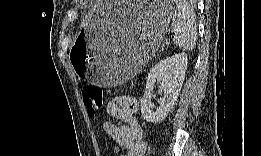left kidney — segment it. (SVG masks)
I'll use <instances>...</instances> for the list:
<instances>
[{
  "mask_svg": "<svg viewBox=\"0 0 261 156\" xmlns=\"http://www.w3.org/2000/svg\"><path fill=\"white\" fill-rule=\"evenodd\" d=\"M188 57L185 53H177L161 60L153 66L147 77L146 90L141 100V113L147 122L157 123L165 119L173 108L187 70ZM156 82H160L163 98L154 111L151 102Z\"/></svg>",
  "mask_w": 261,
  "mask_h": 156,
  "instance_id": "left-kidney-1",
  "label": "left kidney"
}]
</instances>
